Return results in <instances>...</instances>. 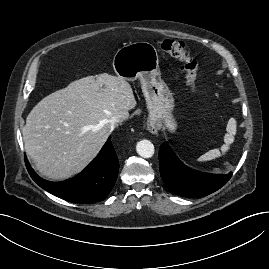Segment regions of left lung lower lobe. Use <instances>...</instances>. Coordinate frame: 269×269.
<instances>
[{"mask_svg":"<svg viewBox=\"0 0 269 269\" xmlns=\"http://www.w3.org/2000/svg\"><path fill=\"white\" fill-rule=\"evenodd\" d=\"M160 174L165 185L175 194L183 197H202L220 189L232 176L228 174H207L185 166L174 154L167 142L159 149Z\"/></svg>","mask_w":269,"mask_h":269,"instance_id":"1","label":"left lung lower lobe"}]
</instances>
